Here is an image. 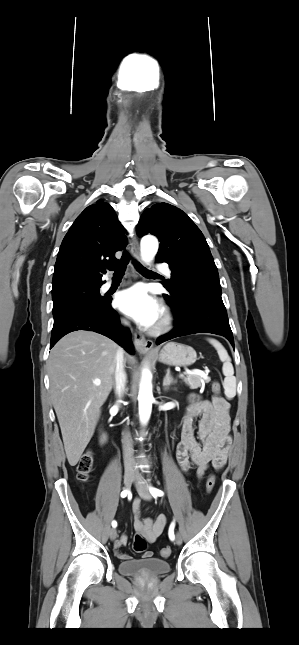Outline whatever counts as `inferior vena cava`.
I'll return each instance as SVG.
<instances>
[{
  "label": "inferior vena cava",
  "instance_id": "inferior-vena-cava-1",
  "mask_svg": "<svg viewBox=\"0 0 299 645\" xmlns=\"http://www.w3.org/2000/svg\"><path fill=\"white\" fill-rule=\"evenodd\" d=\"M125 325H128L127 322H124ZM115 394L118 398H121L125 391L127 376L125 372V361H124V351L119 348L115 356ZM123 444V458H124V467L126 472H135V463L133 458V446L132 440L128 432L123 434L122 439Z\"/></svg>",
  "mask_w": 299,
  "mask_h": 645
}]
</instances>
